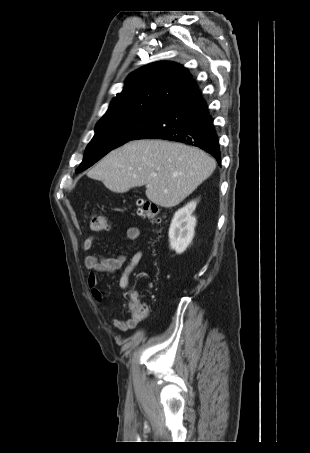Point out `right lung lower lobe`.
Listing matches in <instances>:
<instances>
[{"label":"right lung lower lobe","instance_id":"right-lung-lower-lobe-1","mask_svg":"<svg viewBox=\"0 0 310 453\" xmlns=\"http://www.w3.org/2000/svg\"><path fill=\"white\" fill-rule=\"evenodd\" d=\"M158 138L199 147L221 164L218 136L199 89L169 106L136 139Z\"/></svg>","mask_w":310,"mask_h":453}]
</instances>
